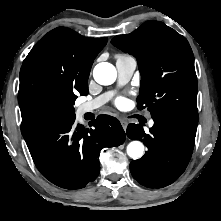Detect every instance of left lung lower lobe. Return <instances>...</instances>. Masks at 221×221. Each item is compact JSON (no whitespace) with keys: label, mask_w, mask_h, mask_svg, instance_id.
<instances>
[{"label":"left lung lower lobe","mask_w":221,"mask_h":221,"mask_svg":"<svg viewBox=\"0 0 221 221\" xmlns=\"http://www.w3.org/2000/svg\"><path fill=\"white\" fill-rule=\"evenodd\" d=\"M155 124L150 133L141 125L130 124L127 136L147 144L148 151L130 163L135 180L149 188L165 187L185 171L194 147L197 123L153 114Z\"/></svg>","instance_id":"left-lung-lower-lobe-1"}]
</instances>
